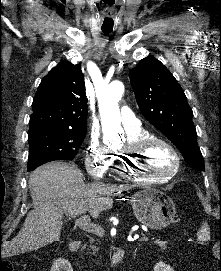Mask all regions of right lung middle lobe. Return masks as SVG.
<instances>
[{
    "label": "right lung middle lobe",
    "mask_w": 221,
    "mask_h": 271,
    "mask_svg": "<svg viewBox=\"0 0 221 271\" xmlns=\"http://www.w3.org/2000/svg\"><path fill=\"white\" fill-rule=\"evenodd\" d=\"M86 131L39 128L28 131V171L53 160H72L81 146Z\"/></svg>",
    "instance_id": "right-lung-middle-lobe-1"
}]
</instances>
